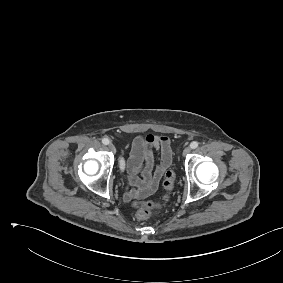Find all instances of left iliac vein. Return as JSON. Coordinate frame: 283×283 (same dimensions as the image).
Masks as SVG:
<instances>
[{
    "label": "left iliac vein",
    "mask_w": 283,
    "mask_h": 283,
    "mask_svg": "<svg viewBox=\"0 0 283 283\" xmlns=\"http://www.w3.org/2000/svg\"><path fill=\"white\" fill-rule=\"evenodd\" d=\"M191 151L190 147H186L184 150H183V156H186L187 154H189Z\"/></svg>",
    "instance_id": "obj_1"
}]
</instances>
